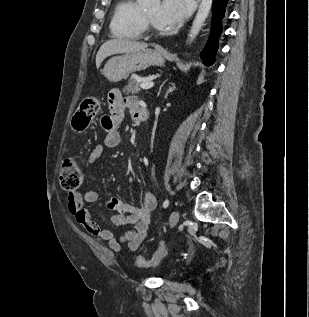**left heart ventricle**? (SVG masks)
I'll return each mask as SVG.
<instances>
[{
  "mask_svg": "<svg viewBox=\"0 0 309 317\" xmlns=\"http://www.w3.org/2000/svg\"><path fill=\"white\" fill-rule=\"evenodd\" d=\"M159 11V6H155L152 9L145 12V15L149 18V20L153 23L156 28H159L156 23V17Z\"/></svg>",
  "mask_w": 309,
  "mask_h": 317,
  "instance_id": "b2bd125f",
  "label": "left heart ventricle"
}]
</instances>
